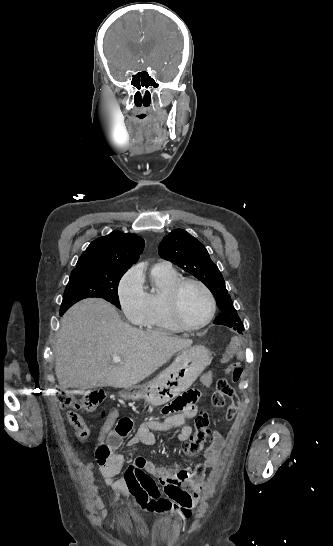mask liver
Returning a JSON list of instances; mask_svg holds the SVG:
<instances>
[{"mask_svg":"<svg viewBox=\"0 0 333 546\" xmlns=\"http://www.w3.org/2000/svg\"><path fill=\"white\" fill-rule=\"evenodd\" d=\"M192 343L191 339L135 329L107 301L88 298L61 319L55 342L56 377L63 390L131 387ZM114 355L123 361L110 365Z\"/></svg>","mask_w":333,"mask_h":546,"instance_id":"1","label":"liver"}]
</instances>
